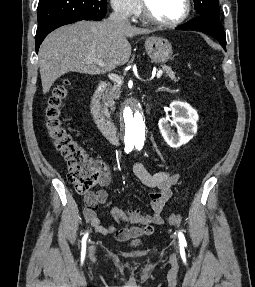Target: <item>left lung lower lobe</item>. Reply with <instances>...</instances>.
<instances>
[{
    "label": "left lung lower lobe",
    "instance_id": "obj_1",
    "mask_svg": "<svg viewBox=\"0 0 255 287\" xmlns=\"http://www.w3.org/2000/svg\"><path fill=\"white\" fill-rule=\"evenodd\" d=\"M176 29L200 31L209 34L216 38L226 50L225 31L219 19L207 15H200L191 21L178 26Z\"/></svg>",
    "mask_w": 255,
    "mask_h": 287
}]
</instances>
